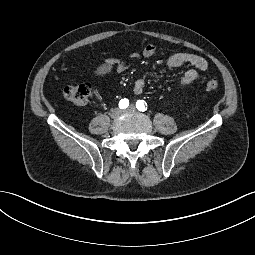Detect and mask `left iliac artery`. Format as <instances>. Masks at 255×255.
I'll return each instance as SVG.
<instances>
[{
	"mask_svg": "<svg viewBox=\"0 0 255 255\" xmlns=\"http://www.w3.org/2000/svg\"><path fill=\"white\" fill-rule=\"evenodd\" d=\"M136 108H137L139 111L144 112V111L147 110V104H146V102L143 101V100H138V101L136 102Z\"/></svg>",
	"mask_w": 255,
	"mask_h": 255,
	"instance_id": "left-iliac-artery-1",
	"label": "left iliac artery"
}]
</instances>
